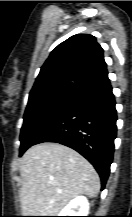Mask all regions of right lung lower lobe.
<instances>
[{"label":"right lung lower lobe","mask_w":132,"mask_h":217,"mask_svg":"<svg viewBox=\"0 0 132 217\" xmlns=\"http://www.w3.org/2000/svg\"><path fill=\"white\" fill-rule=\"evenodd\" d=\"M115 99L110 82L78 95L35 141L73 148L95 167L104 189L116 138Z\"/></svg>","instance_id":"1"}]
</instances>
